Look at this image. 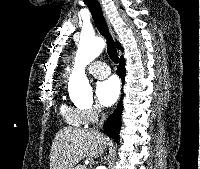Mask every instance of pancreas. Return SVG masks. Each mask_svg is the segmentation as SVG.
Here are the masks:
<instances>
[{"label": "pancreas", "mask_w": 200, "mask_h": 169, "mask_svg": "<svg viewBox=\"0 0 200 169\" xmlns=\"http://www.w3.org/2000/svg\"><path fill=\"white\" fill-rule=\"evenodd\" d=\"M74 169H86V168L84 166H82V165H78Z\"/></svg>", "instance_id": "obj_1"}]
</instances>
